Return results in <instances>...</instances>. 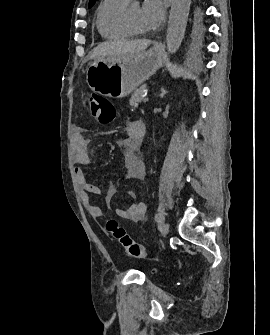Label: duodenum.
Here are the masks:
<instances>
[{"mask_svg": "<svg viewBox=\"0 0 270 335\" xmlns=\"http://www.w3.org/2000/svg\"><path fill=\"white\" fill-rule=\"evenodd\" d=\"M144 131V125L142 124L141 127H140V134H142Z\"/></svg>", "mask_w": 270, "mask_h": 335, "instance_id": "1", "label": "duodenum"}]
</instances>
